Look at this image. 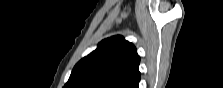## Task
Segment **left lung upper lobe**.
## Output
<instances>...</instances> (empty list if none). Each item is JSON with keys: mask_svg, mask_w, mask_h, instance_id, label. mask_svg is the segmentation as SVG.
Segmentation results:
<instances>
[{"mask_svg": "<svg viewBox=\"0 0 223 88\" xmlns=\"http://www.w3.org/2000/svg\"><path fill=\"white\" fill-rule=\"evenodd\" d=\"M139 63L135 46L113 36L75 65L64 88H139Z\"/></svg>", "mask_w": 223, "mask_h": 88, "instance_id": "5c2ea615", "label": "left lung upper lobe"}]
</instances>
